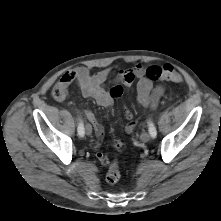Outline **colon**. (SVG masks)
<instances>
[{
  "mask_svg": "<svg viewBox=\"0 0 221 221\" xmlns=\"http://www.w3.org/2000/svg\"><path fill=\"white\" fill-rule=\"evenodd\" d=\"M146 76L152 81H169L173 83H182L183 79L175 69L166 64L163 66H151L146 70ZM112 93L116 98H120L122 94V87L116 86L112 88ZM52 97L56 101H63L67 97V90L59 82L52 89ZM120 144L119 141H116V146ZM121 178V173L119 169L118 162L113 160L109 164L108 171L106 173V181L109 184H116Z\"/></svg>",
  "mask_w": 221,
  "mask_h": 221,
  "instance_id": "5ec220e1",
  "label": "colon"
}]
</instances>
